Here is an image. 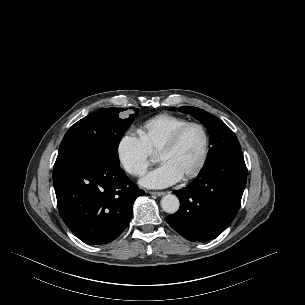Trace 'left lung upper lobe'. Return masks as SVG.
<instances>
[{
  "instance_id": "left-lung-upper-lobe-1",
  "label": "left lung upper lobe",
  "mask_w": 305,
  "mask_h": 305,
  "mask_svg": "<svg viewBox=\"0 0 305 305\" xmlns=\"http://www.w3.org/2000/svg\"><path fill=\"white\" fill-rule=\"evenodd\" d=\"M179 109L181 112L193 115L209 132L211 148L203 168L231 153L242 152L236 135L221 120L196 107L182 106Z\"/></svg>"
}]
</instances>
